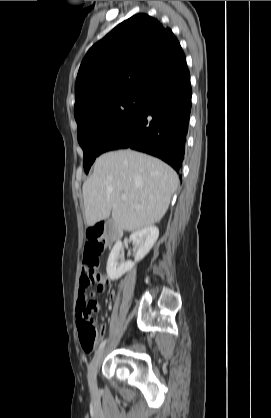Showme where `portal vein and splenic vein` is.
<instances>
[{
    "instance_id": "portal-vein-and-splenic-vein-1",
    "label": "portal vein and splenic vein",
    "mask_w": 271,
    "mask_h": 418,
    "mask_svg": "<svg viewBox=\"0 0 271 418\" xmlns=\"http://www.w3.org/2000/svg\"><path fill=\"white\" fill-rule=\"evenodd\" d=\"M121 199L123 200V201H125L126 199H127V197H126V195H121ZM135 207H137V206H135Z\"/></svg>"
}]
</instances>
